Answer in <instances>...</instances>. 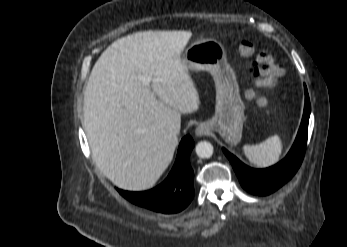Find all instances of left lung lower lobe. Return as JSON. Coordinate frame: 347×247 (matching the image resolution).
Returning a JSON list of instances; mask_svg holds the SVG:
<instances>
[{
  "label": "left lung lower lobe",
  "instance_id": "0a47b994",
  "mask_svg": "<svg viewBox=\"0 0 347 247\" xmlns=\"http://www.w3.org/2000/svg\"><path fill=\"white\" fill-rule=\"evenodd\" d=\"M310 116L309 95L305 86V107L302 122L295 142L287 156L276 165L266 169H253L223 148L230 160L241 186L254 195H269L288 182L299 169L307 143Z\"/></svg>",
  "mask_w": 347,
  "mask_h": 247
}]
</instances>
